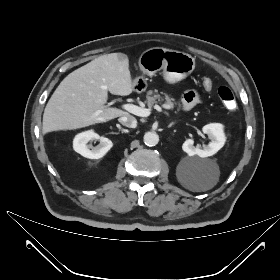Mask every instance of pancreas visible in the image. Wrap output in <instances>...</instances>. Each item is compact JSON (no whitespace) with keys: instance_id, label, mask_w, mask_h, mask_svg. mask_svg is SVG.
I'll return each mask as SVG.
<instances>
[{"instance_id":"cf45deb5","label":"pancreas","mask_w":280,"mask_h":280,"mask_svg":"<svg viewBox=\"0 0 280 280\" xmlns=\"http://www.w3.org/2000/svg\"><path fill=\"white\" fill-rule=\"evenodd\" d=\"M161 94L163 96H161L157 90H149L146 95L148 107L151 108L154 104L164 101V106H166L167 109H173L175 105V99L163 92H161Z\"/></svg>"}]
</instances>
